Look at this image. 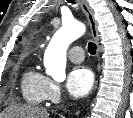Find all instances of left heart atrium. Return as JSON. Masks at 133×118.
Instances as JSON below:
<instances>
[{"label":"left heart atrium","instance_id":"obj_1","mask_svg":"<svg viewBox=\"0 0 133 118\" xmlns=\"http://www.w3.org/2000/svg\"><path fill=\"white\" fill-rule=\"evenodd\" d=\"M94 84V76L91 70L84 66L73 68L67 78V89L73 97L87 95Z\"/></svg>","mask_w":133,"mask_h":118}]
</instances>
